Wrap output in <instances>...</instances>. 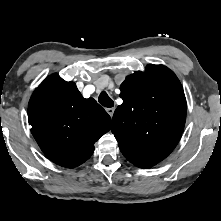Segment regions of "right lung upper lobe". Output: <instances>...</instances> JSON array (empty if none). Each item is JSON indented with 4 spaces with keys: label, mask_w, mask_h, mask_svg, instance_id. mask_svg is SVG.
Returning <instances> with one entry per match:
<instances>
[{
    "label": "right lung upper lobe",
    "mask_w": 221,
    "mask_h": 221,
    "mask_svg": "<svg viewBox=\"0 0 221 221\" xmlns=\"http://www.w3.org/2000/svg\"><path fill=\"white\" fill-rule=\"evenodd\" d=\"M28 121L44 154L67 168L88 160L94 143L111 128L107 112L58 74L47 77L32 94Z\"/></svg>",
    "instance_id": "right-lung-upper-lobe-1"
}]
</instances>
